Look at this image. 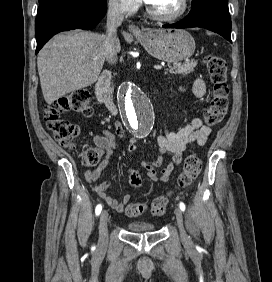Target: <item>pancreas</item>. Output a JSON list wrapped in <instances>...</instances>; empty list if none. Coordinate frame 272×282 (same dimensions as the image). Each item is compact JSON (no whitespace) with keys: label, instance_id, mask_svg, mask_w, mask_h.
Listing matches in <instances>:
<instances>
[{"label":"pancreas","instance_id":"obj_1","mask_svg":"<svg viewBox=\"0 0 272 282\" xmlns=\"http://www.w3.org/2000/svg\"><path fill=\"white\" fill-rule=\"evenodd\" d=\"M196 65L197 61L194 60L188 61L184 64L176 63L173 67H169L168 71L171 74L188 75L194 71Z\"/></svg>","mask_w":272,"mask_h":282}]
</instances>
